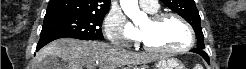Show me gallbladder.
I'll return each mask as SVG.
<instances>
[{
    "label": "gallbladder",
    "mask_w": 246,
    "mask_h": 69,
    "mask_svg": "<svg viewBox=\"0 0 246 69\" xmlns=\"http://www.w3.org/2000/svg\"><path fill=\"white\" fill-rule=\"evenodd\" d=\"M46 62H49L48 65H47V68H54V69H66V66L63 65V64H57V65H53V63L51 62L52 61V58L49 56L46 58L45 60Z\"/></svg>",
    "instance_id": "1"
}]
</instances>
